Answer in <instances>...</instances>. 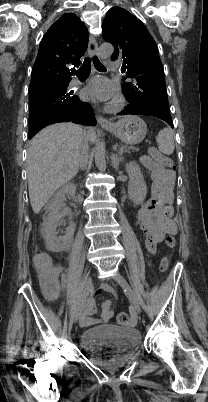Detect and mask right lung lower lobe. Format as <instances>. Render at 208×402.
Wrapping results in <instances>:
<instances>
[{"mask_svg": "<svg viewBox=\"0 0 208 402\" xmlns=\"http://www.w3.org/2000/svg\"><path fill=\"white\" fill-rule=\"evenodd\" d=\"M59 122H73L90 126L96 125V119L90 104L80 101L72 110L43 114L29 120V139L44 127Z\"/></svg>", "mask_w": 208, "mask_h": 402, "instance_id": "obj_1", "label": "right lung lower lobe"}]
</instances>
